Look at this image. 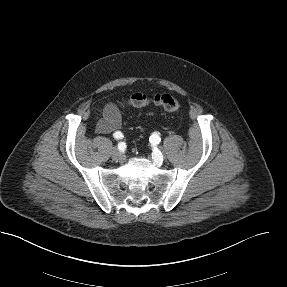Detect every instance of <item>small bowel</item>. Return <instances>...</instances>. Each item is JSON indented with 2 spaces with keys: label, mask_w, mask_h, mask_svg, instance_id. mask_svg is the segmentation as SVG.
Segmentation results:
<instances>
[{
  "label": "small bowel",
  "mask_w": 287,
  "mask_h": 287,
  "mask_svg": "<svg viewBox=\"0 0 287 287\" xmlns=\"http://www.w3.org/2000/svg\"><path fill=\"white\" fill-rule=\"evenodd\" d=\"M121 126V114L114 103H109L104 107L102 118L98 121L96 129L99 133L109 134L118 132Z\"/></svg>",
  "instance_id": "c3829d8e"
}]
</instances>
